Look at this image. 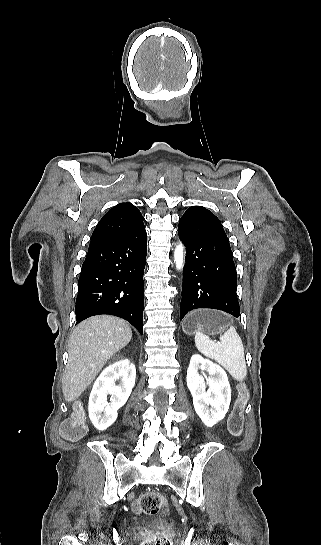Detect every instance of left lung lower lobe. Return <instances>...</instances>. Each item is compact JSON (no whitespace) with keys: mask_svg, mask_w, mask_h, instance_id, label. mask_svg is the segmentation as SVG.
<instances>
[{"mask_svg":"<svg viewBox=\"0 0 321 545\" xmlns=\"http://www.w3.org/2000/svg\"><path fill=\"white\" fill-rule=\"evenodd\" d=\"M178 234L187 251L180 320L197 308L239 317L236 267L220 220L206 208L192 206L180 218Z\"/></svg>","mask_w":321,"mask_h":545,"instance_id":"left-lung-lower-lobe-1","label":"left lung lower lobe"}]
</instances>
